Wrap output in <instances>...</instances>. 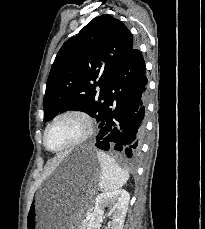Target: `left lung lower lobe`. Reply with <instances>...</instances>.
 Segmentation results:
<instances>
[{
    "label": "left lung lower lobe",
    "mask_w": 205,
    "mask_h": 229,
    "mask_svg": "<svg viewBox=\"0 0 205 229\" xmlns=\"http://www.w3.org/2000/svg\"><path fill=\"white\" fill-rule=\"evenodd\" d=\"M147 83L142 53L133 47L108 90L96 147L122 151L128 158L139 154L145 129Z\"/></svg>",
    "instance_id": "0a47b994"
}]
</instances>
